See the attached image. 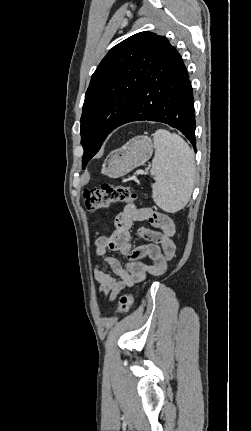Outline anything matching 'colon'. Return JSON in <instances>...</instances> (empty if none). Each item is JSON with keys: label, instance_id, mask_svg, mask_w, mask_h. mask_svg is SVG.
Returning <instances> with one entry per match:
<instances>
[{"label": "colon", "instance_id": "obj_1", "mask_svg": "<svg viewBox=\"0 0 251 431\" xmlns=\"http://www.w3.org/2000/svg\"><path fill=\"white\" fill-rule=\"evenodd\" d=\"M83 197L85 199V206L89 211L105 209L113 204L126 203L137 199V195L132 193L128 188L108 183L102 184L98 189H86ZM131 304L132 295L130 293L123 294L119 300L118 313L126 314Z\"/></svg>", "mask_w": 251, "mask_h": 431}]
</instances>
